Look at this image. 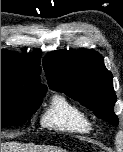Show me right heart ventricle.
<instances>
[{
	"label": "right heart ventricle",
	"mask_w": 123,
	"mask_h": 152,
	"mask_svg": "<svg viewBox=\"0 0 123 152\" xmlns=\"http://www.w3.org/2000/svg\"><path fill=\"white\" fill-rule=\"evenodd\" d=\"M41 123L49 129L79 135L89 134L93 128L87 113L62 95L52 97Z\"/></svg>",
	"instance_id": "e07e8e85"
}]
</instances>
